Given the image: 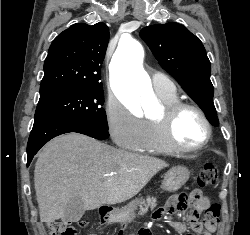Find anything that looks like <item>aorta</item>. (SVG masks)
Instances as JSON below:
<instances>
[{
	"instance_id": "aorta-1",
	"label": "aorta",
	"mask_w": 250,
	"mask_h": 235,
	"mask_svg": "<svg viewBox=\"0 0 250 235\" xmlns=\"http://www.w3.org/2000/svg\"><path fill=\"white\" fill-rule=\"evenodd\" d=\"M144 49L136 40L121 43L110 63V80L117 98L128 108L154 100L151 80L142 66Z\"/></svg>"
}]
</instances>
